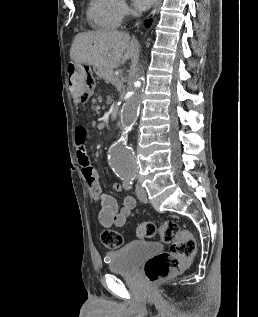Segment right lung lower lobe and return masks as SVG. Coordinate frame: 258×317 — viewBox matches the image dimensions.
I'll use <instances>...</instances> for the list:
<instances>
[{
    "mask_svg": "<svg viewBox=\"0 0 258 317\" xmlns=\"http://www.w3.org/2000/svg\"><path fill=\"white\" fill-rule=\"evenodd\" d=\"M151 21H152L151 19H150V20H147V21L145 22V26H146V27H149V26L151 25Z\"/></svg>",
    "mask_w": 258,
    "mask_h": 317,
    "instance_id": "1",
    "label": "right lung lower lobe"
}]
</instances>
